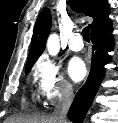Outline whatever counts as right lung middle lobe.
Masks as SVG:
<instances>
[{
  "instance_id": "right-lung-middle-lobe-1",
  "label": "right lung middle lobe",
  "mask_w": 118,
  "mask_h": 123,
  "mask_svg": "<svg viewBox=\"0 0 118 123\" xmlns=\"http://www.w3.org/2000/svg\"><path fill=\"white\" fill-rule=\"evenodd\" d=\"M30 70H31V69H27L26 72H25V74H28V73L30 72Z\"/></svg>"
}]
</instances>
